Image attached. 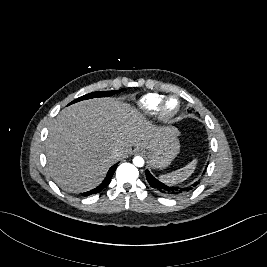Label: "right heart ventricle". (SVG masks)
I'll list each match as a JSON object with an SVG mask.
<instances>
[{
    "label": "right heart ventricle",
    "mask_w": 267,
    "mask_h": 267,
    "mask_svg": "<svg viewBox=\"0 0 267 267\" xmlns=\"http://www.w3.org/2000/svg\"><path fill=\"white\" fill-rule=\"evenodd\" d=\"M163 95L158 93H148L144 95L138 102L139 107L148 114L156 112L157 106Z\"/></svg>",
    "instance_id": "e07e8e85"
}]
</instances>
